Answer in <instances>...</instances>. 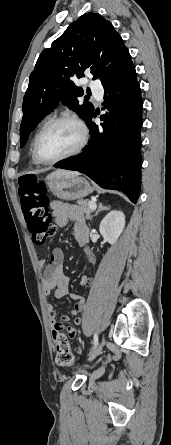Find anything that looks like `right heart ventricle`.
Segmentation results:
<instances>
[{
    "label": "right heart ventricle",
    "instance_id": "e07e8e85",
    "mask_svg": "<svg viewBox=\"0 0 171 445\" xmlns=\"http://www.w3.org/2000/svg\"><path fill=\"white\" fill-rule=\"evenodd\" d=\"M32 160H33V162H34L35 164H37V161H36L35 158L33 157V154H32Z\"/></svg>",
    "mask_w": 171,
    "mask_h": 445
}]
</instances>
